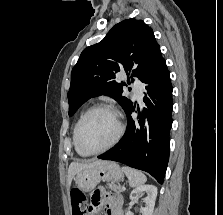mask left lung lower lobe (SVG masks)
Returning a JSON list of instances; mask_svg holds the SVG:
<instances>
[{"instance_id": "obj_1", "label": "left lung lower lobe", "mask_w": 223, "mask_h": 215, "mask_svg": "<svg viewBox=\"0 0 223 215\" xmlns=\"http://www.w3.org/2000/svg\"><path fill=\"white\" fill-rule=\"evenodd\" d=\"M146 107L138 108L136 120L131 117L135 105L125 111L127 129L122 139L100 159L121 162L150 173L163 183L169 160V134L172 125V85L163 59L145 76Z\"/></svg>"}]
</instances>
